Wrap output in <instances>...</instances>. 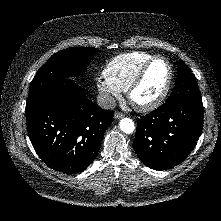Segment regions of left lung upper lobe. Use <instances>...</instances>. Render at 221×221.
<instances>
[{"instance_id":"obj_1","label":"left lung upper lobe","mask_w":221,"mask_h":221,"mask_svg":"<svg viewBox=\"0 0 221 221\" xmlns=\"http://www.w3.org/2000/svg\"><path fill=\"white\" fill-rule=\"evenodd\" d=\"M176 100H188L202 103L198 84L190 69L182 60H179L178 63L177 81L174 90L166 102Z\"/></svg>"}]
</instances>
